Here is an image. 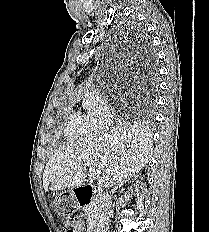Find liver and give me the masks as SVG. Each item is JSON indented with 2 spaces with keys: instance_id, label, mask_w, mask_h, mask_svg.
I'll return each mask as SVG.
<instances>
[{
  "instance_id": "liver-1",
  "label": "liver",
  "mask_w": 209,
  "mask_h": 232,
  "mask_svg": "<svg viewBox=\"0 0 209 232\" xmlns=\"http://www.w3.org/2000/svg\"><path fill=\"white\" fill-rule=\"evenodd\" d=\"M153 144L141 127L117 125L59 148L49 157L43 174L46 192L78 187L89 167L99 174L98 188L122 185L152 156Z\"/></svg>"
}]
</instances>
